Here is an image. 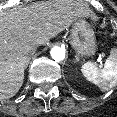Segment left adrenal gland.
Returning a JSON list of instances; mask_svg holds the SVG:
<instances>
[{
	"instance_id": "1",
	"label": "left adrenal gland",
	"mask_w": 117,
	"mask_h": 117,
	"mask_svg": "<svg viewBox=\"0 0 117 117\" xmlns=\"http://www.w3.org/2000/svg\"><path fill=\"white\" fill-rule=\"evenodd\" d=\"M75 60H76L77 62H79V61H80V58H79V56H78V55H75Z\"/></svg>"
}]
</instances>
